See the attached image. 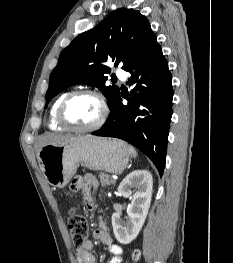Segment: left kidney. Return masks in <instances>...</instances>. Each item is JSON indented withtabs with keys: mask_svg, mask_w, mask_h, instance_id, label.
<instances>
[{
	"mask_svg": "<svg viewBox=\"0 0 233 263\" xmlns=\"http://www.w3.org/2000/svg\"><path fill=\"white\" fill-rule=\"evenodd\" d=\"M153 179L147 170H135L128 174L118 187V193L131 199L126 221L120 213L112 215L113 232L121 244H129L139 234L151 204ZM135 189V192H132Z\"/></svg>",
	"mask_w": 233,
	"mask_h": 263,
	"instance_id": "obj_1",
	"label": "left kidney"
}]
</instances>
